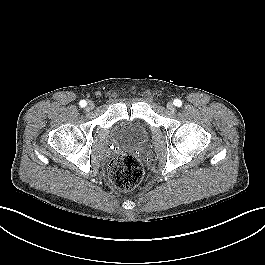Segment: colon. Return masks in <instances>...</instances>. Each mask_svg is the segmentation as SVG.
<instances>
[{
	"mask_svg": "<svg viewBox=\"0 0 265 265\" xmlns=\"http://www.w3.org/2000/svg\"><path fill=\"white\" fill-rule=\"evenodd\" d=\"M110 181L121 190H131L138 185L143 177L141 162L132 154L121 153L109 164Z\"/></svg>",
	"mask_w": 265,
	"mask_h": 265,
	"instance_id": "1",
	"label": "colon"
}]
</instances>
